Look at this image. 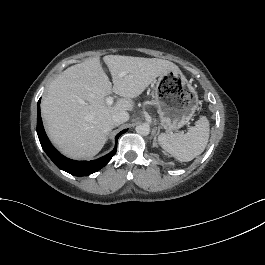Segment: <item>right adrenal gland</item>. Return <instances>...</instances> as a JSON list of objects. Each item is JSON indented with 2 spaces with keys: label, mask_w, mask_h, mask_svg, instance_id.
<instances>
[{
  "label": "right adrenal gland",
  "mask_w": 265,
  "mask_h": 265,
  "mask_svg": "<svg viewBox=\"0 0 265 265\" xmlns=\"http://www.w3.org/2000/svg\"><path fill=\"white\" fill-rule=\"evenodd\" d=\"M116 127H118V125H115L113 128H116Z\"/></svg>",
  "instance_id": "2a0ac1e0"
}]
</instances>
